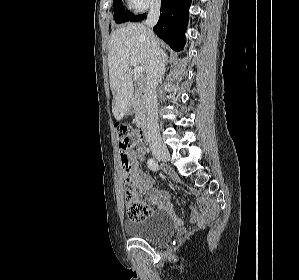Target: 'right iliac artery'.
<instances>
[{"label":"right iliac artery","instance_id":"82829eb1","mask_svg":"<svg viewBox=\"0 0 299 280\" xmlns=\"http://www.w3.org/2000/svg\"><path fill=\"white\" fill-rule=\"evenodd\" d=\"M147 165H148L149 169H151L153 171L159 170V165L154 159H148Z\"/></svg>","mask_w":299,"mask_h":280}]
</instances>
